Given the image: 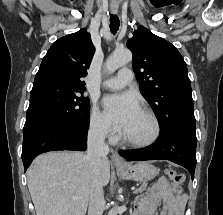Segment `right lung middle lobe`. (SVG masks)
<instances>
[{
	"mask_svg": "<svg viewBox=\"0 0 223 215\" xmlns=\"http://www.w3.org/2000/svg\"><path fill=\"white\" fill-rule=\"evenodd\" d=\"M90 102L75 92L41 91L30 94L23 133L47 126L89 128Z\"/></svg>",
	"mask_w": 223,
	"mask_h": 215,
	"instance_id": "dd1d6c3e",
	"label": "right lung middle lobe"
}]
</instances>
